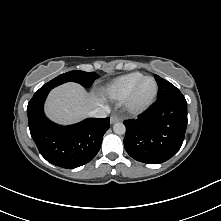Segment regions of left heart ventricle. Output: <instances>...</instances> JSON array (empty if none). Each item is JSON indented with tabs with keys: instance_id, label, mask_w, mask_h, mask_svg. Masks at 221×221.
Returning a JSON list of instances; mask_svg holds the SVG:
<instances>
[{
	"instance_id": "1",
	"label": "left heart ventricle",
	"mask_w": 221,
	"mask_h": 221,
	"mask_svg": "<svg viewBox=\"0 0 221 221\" xmlns=\"http://www.w3.org/2000/svg\"><path fill=\"white\" fill-rule=\"evenodd\" d=\"M154 90V84L151 80H146L140 86L137 94V99L139 101H144L151 96Z\"/></svg>"
}]
</instances>
